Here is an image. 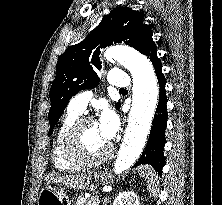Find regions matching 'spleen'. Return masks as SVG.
I'll list each match as a JSON object with an SVG mask.
<instances>
[{"label":"spleen","mask_w":222,"mask_h":205,"mask_svg":"<svg viewBox=\"0 0 222 205\" xmlns=\"http://www.w3.org/2000/svg\"><path fill=\"white\" fill-rule=\"evenodd\" d=\"M138 172L140 176H142L143 178H145V180H147L148 183L147 189L149 190V192L153 194V196H155L158 184V176L153 170V168L148 165H141L138 168Z\"/></svg>","instance_id":"obj_1"}]
</instances>
